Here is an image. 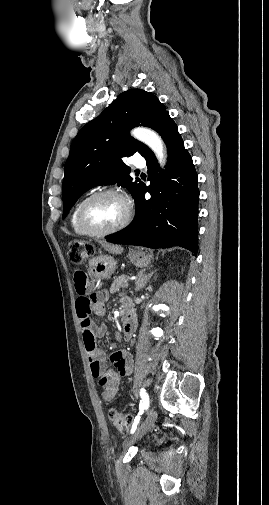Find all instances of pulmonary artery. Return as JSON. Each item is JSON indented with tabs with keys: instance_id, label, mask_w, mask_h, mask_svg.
<instances>
[{
	"instance_id": "obj_1",
	"label": "pulmonary artery",
	"mask_w": 269,
	"mask_h": 505,
	"mask_svg": "<svg viewBox=\"0 0 269 505\" xmlns=\"http://www.w3.org/2000/svg\"><path fill=\"white\" fill-rule=\"evenodd\" d=\"M132 163L137 168H144L145 167V160L142 158H134Z\"/></svg>"
}]
</instances>
